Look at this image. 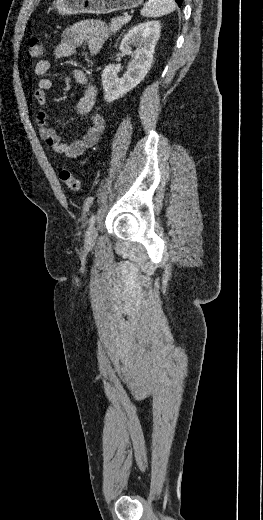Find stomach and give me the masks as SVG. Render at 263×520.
<instances>
[{
  "label": "stomach",
  "mask_w": 263,
  "mask_h": 520,
  "mask_svg": "<svg viewBox=\"0 0 263 520\" xmlns=\"http://www.w3.org/2000/svg\"><path fill=\"white\" fill-rule=\"evenodd\" d=\"M144 0H55L54 8L61 15L81 13L108 14L138 7Z\"/></svg>",
  "instance_id": "stomach-1"
}]
</instances>
